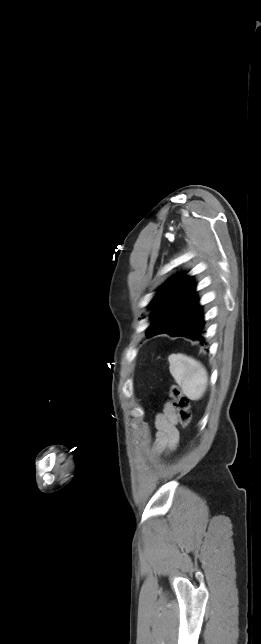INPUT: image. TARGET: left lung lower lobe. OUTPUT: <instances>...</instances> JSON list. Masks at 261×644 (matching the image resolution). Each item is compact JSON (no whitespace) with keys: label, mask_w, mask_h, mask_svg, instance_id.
Returning <instances> with one entry per match:
<instances>
[{"label":"left lung lower lobe","mask_w":261,"mask_h":644,"mask_svg":"<svg viewBox=\"0 0 261 644\" xmlns=\"http://www.w3.org/2000/svg\"><path fill=\"white\" fill-rule=\"evenodd\" d=\"M204 325V314L202 308H200L188 322L173 330L169 335L173 337H185L204 345L207 344Z\"/></svg>","instance_id":"1"}]
</instances>
